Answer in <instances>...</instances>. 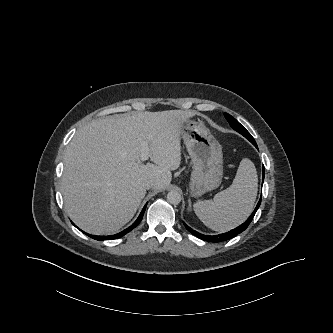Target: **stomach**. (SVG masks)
<instances>
[{
    "label": "stomach",
    "mask_w": 333,
    "mask_h": 333,
    "mask_svg": "<svg viewBox=\"0 0 333 333\" xmlns=\"http://www.w3.org/2000/svg\"><path fill=\"white\" fill-rule=\"evenodd\" d=\"M181 135L193 163L191 195L199 197L218 188L223 177L221 145L202 122H182Z\"/></svg>",
    "instance_id": "obj_1"
}]
</instances>
